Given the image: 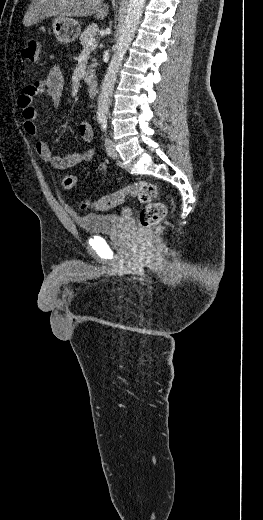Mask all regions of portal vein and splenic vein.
I'll use <instances>...</instances> for the list:
<instances>
[{
	"mask_svg": "<svg viewBox=\"0 0 263 520\" xmlns=\"http://www.w3.org/2000/svg\"><path fill=\"white\" fill-rule=\"evenodd\" d=\"M94 45H95V38L92 37V38L89 39L86 48L93 47Z\"/></svg>",
	"mask_w": 263,
	"mask_h": 520,
	"instance_id": "obj_1",
	"label": "portal vein and splenic vein"
}]
</instances>
